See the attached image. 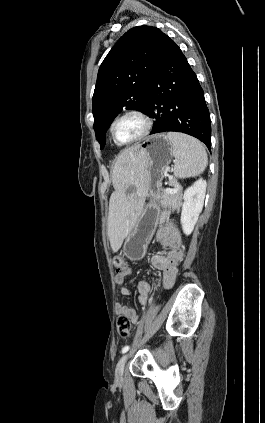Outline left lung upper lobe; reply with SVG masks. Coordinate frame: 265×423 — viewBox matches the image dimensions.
I'll return each mask as SVG.
<instances>
[{
	"instance_id": "left-lung-upper-lobe-1",
	"label": "left lung upper lobe",
	"mask_w": 265,
	"mask_h": 423,
	"mask_svg": "<svg viewBox=\"0 0 265 423\" xmlns=\"http://www.w3.org/2000/svg\"><path fill=\"white\" fill-rule=\"evenodd\" d=\"M165 36L156 27H134L102 62L92 99L94 130L101 149L106 131L123 108L145 112L146 92Z\"/></svg>"
}]
</instances>
